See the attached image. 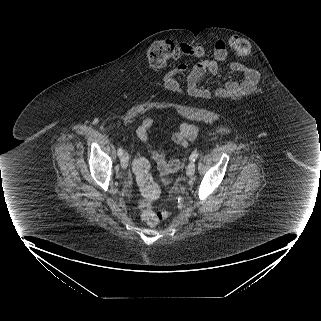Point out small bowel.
<instances>
[{"instance_id": "1", "label": "small bowel", "mask_w": 321, "mask_h": 321, "mask_svg": "<svg viewBox=\"0 0 321 321\" xmlns=\"http://www.w3.org/2000/svg\"><path fill=\"white\" fill-rule=\"evenodd\" d=\"M228 52L225 43L218 40L215 44L213 58L197 63L189 69L188 65L182 64L175 69L169 71L165 75V83L170 89L178 90L180 84L177 77L186 73V91L193 99H202L204 97L217 98L223 95L236 98H243L248 93H252L260 86L261 74L251 69L248 65H244L239 61H234L230 65V70L237 76H242L244 79L238 83L229 82L226 86H217L214 90H204L196 85L198 80L205 74H215L220 70L222 64L226 63ZM154 126V121L150 117L143 119L136 130L138 139L143 142L148 149L150 157L156 163L160 174L165 176L176 172L180 167L178 158L167 159L162 149L153 148L149 143L150 134ZM199 130L196 126L182 123L178 130L173 134L172 140L176 145L186 147L188 143L198 135Z\"/></svg>"}]
</instances>
